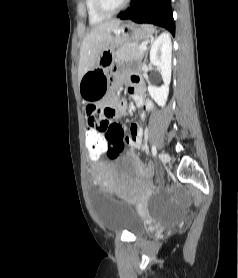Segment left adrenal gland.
Returning a JSON list of instances; mask_svg holds the SVG:
<instances>
[{
  "mask_svg": "<svg viewBox=\"0 0 238 278\" xmlns=\"http://www.w3.org/2000/svg\"><path fill=\"white\" fill-rule=\"evenodd\" d=\"M156 34H157V33H156ZM152 40H153V38H152ZM147 55H148V49H147L146 52H145L144 62H146V60H147Z\"/></svg>",
  "mask_w": 238,
  "mask_h": 278,
  "instance_id": "left-adrenal-gland-1",
  "label": "left adrenal gland"
}]
</instances>
